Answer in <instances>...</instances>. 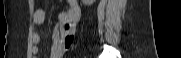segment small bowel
Here are the masks:
<instances>
[{"mask_svg": "<svg viewBox=\"0 0 181 58\" xmlns=\"http://www.w3.org/2000/svg\"><path fill=\"white\" fill-rule=\"evenodd\" d=\"M80 16L81 9L78 2L76 0H68L66 7L59 15L58 23L53 31V46L50 58H62L64 53L71 47ZM45 17V11L37 9L33 13V22L40 25L44 23ZM32 41V54L36 56L39 52L40 35L35 32L32 36Z\"/></svg>", "mask_w": 181, "mask_h": 58, "instance_id": "1", "label": "small bowel"}]
</instances>
